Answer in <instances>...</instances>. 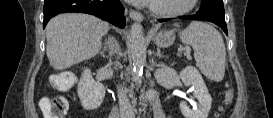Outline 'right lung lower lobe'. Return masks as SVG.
Instances as JSON below:
<instances>
[{"instance_id":"obj_1","label":"right lung lower lobe","mask_w":273,"mask_h":118,"mask_svg":"<svg viewBox=\"0 0 273 118\" xmlns=\"http://www.w3.org/2000/svg\"><path fill=\"white\" fill-rule=\"evenodd\" d=\"M65 12L95 15L121 28L126 25L120 0H45L43 28L53 16Z\"/></svg>"}]
</instances>
